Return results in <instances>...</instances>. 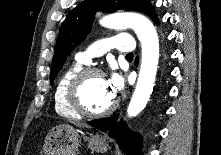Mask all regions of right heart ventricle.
Instances as JSON below:
<instances>
[{
	"label": "right heart ventricle",
	"instance_id": "obj_1",
	"mask_svg": "<svg viewBox=\"0 0 221 155\" xmlns=\"http://www.w3.org/2000/svg\"><path fill=\"white\" fill-rule=\"evenodd\" d=\"M83 68L80 62L68 67L59 77L54 90V107L56 112L63 117L77 119L81 115L70 108L66 100V90L70 80Z\"/></svg>",
	"mask_w": 221,
	"mask_h": 155
}]
</instances>
